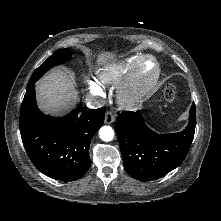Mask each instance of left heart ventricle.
<instances>
[{
	"mask_svg": "<svg viewBox=\"0 0 221 221\" xmlns=\"http://www.w3.org/2000/svg\"><path fill=\"white\" fill-rule=\"evenodd\" d=\"M154 74V64L152 61H146L141 68V76L143 79H149Z\"/></svg>",
	"mask_w": 221,
	"mask_h": 221,
	"instance_id": "obj_1",
	"label": "left heart ventricle"
}]
</instances>
